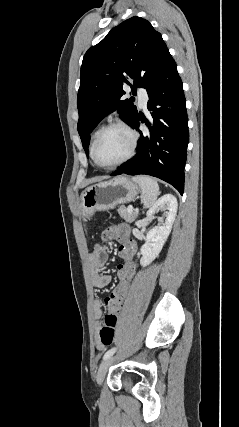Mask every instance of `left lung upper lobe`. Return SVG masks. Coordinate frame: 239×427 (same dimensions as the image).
<instances>
[{
	"instance_id": "left-lung-upper-lobe-1",
	"label": "left lung upper lobe",
	"mask_w": 239,
	"mask_h": 427,
	"mask_svg": "<svg viewBox=\"0 0 239 427\" xmlns=\"http://www.w3.org/2000/svg\"><path fill=\"white\" fill-rule=\"evenodd\" d=\"M172 62L161 34L137 16L114 27L87 50L77 97L78 132L86 154L90 132L105 115L117 110L128 125L136 118L134 97L121 100L123 85L129 84L135 95L137 87L147 88ZM128 77L134 79L133 85Z\"/></svg>"
}]
</instances>
